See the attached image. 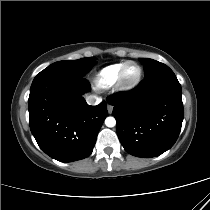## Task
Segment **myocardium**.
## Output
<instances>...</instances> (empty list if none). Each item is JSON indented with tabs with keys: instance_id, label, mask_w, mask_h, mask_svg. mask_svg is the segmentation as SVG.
Returning a JSON list of instances; mask_svg holds the SVG:
<instances>
[{
	"instance_id": "1",
	"label": "myocardium",
	"mask_w": 210,
	"mask_h": 210,
	"mask_svg": "<svg viewBox=\"0 0 210 210\" xmlns=\"http://www.w3.org/2000/svg\"><path fill=\"white\" fill-rule=\"evenodd\" d=\"M130 64H134L138 67V75L136 76L135 79L128 81L125 78V70L127 68L128 65ZM142 75H143V69L141 67L140 64H138L135 61H126L118 74V79H117V86L119 87V89L123 90V91H128V90H132L134 89L136 86H138V84L141 82L142 79Z\"/></svg>"
}]
</instances>
